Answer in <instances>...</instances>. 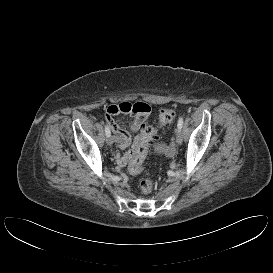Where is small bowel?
Segmentation results:
<instances>
[{"label":"small bowel","instance_id":"c3829d8e","mask_svg":"<svg viewBox=\"0 0 273 273\" xmlns=\"http://www.w3.org/2000/svg\"><path fill=\"white\" fill-rule=\"evenodd\" d=\"M151 112V107L144 102L128 103L122 102L119 104H113L107 107L105 112L106 121L111 128L114 140L117 145L116 160L120 166H125L130 161L134 147L141 138V129L143 128L146 119ZM119 114H126L134 116V120L131 124V131L135 133V138L132 139L130 134L123 130L113 119L114 116ZM129 146L132 148L124 153L123 150Z\"/></svg>","mask_w":273,"mask_h":273}]
</instances>
